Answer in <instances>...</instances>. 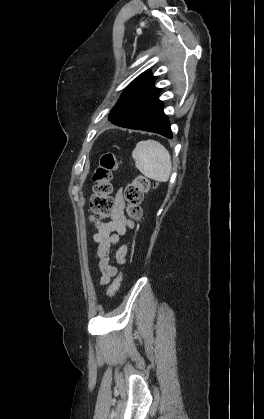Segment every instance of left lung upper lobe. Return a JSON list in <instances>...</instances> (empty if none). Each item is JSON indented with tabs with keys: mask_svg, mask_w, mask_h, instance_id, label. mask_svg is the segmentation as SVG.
<instances>
[{
	"mask_svg": "<svg viewBox=\"0 0 264 419\" xmlns=\"http://www.w3.org/2000/svg\"><path fill=\"white\" fill-rule=\"evenodd\" d=\"M156 77L152 76L150 71H146L139 75L125 88L117 104L112 108L109 118L117 117L123 112L127 105L138 98L148 87L153 86ZM123 114V113H122Z\"/></svg>",
	"mask_w": 264,
	"mask_h": 419,
	"instance_id": "5c2ea615",
	"label": "left lung upper lobe"
}]
</instances>
